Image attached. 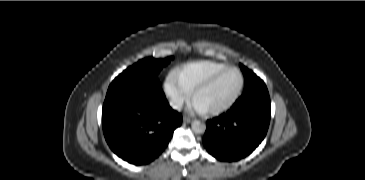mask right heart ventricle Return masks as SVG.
<instances>
[{
    "mask_svg": "<svg viewBox=\"0 0 365 180\" xmlns=\"http://www.w3.org/2000/svg\"><path fill=\"white\" fill-rule=\"evenodd\" d=\"M228 67L226 63L216 61H200L187 64L176 72L179 82L191 94L195 88L205 82L218 71Z\"/></svg>",
    "mask_w": 365,
    "mask_h": 180,
    "instance_id": "right-heart-ventricle-1",
    "label": "right heart ventricle"
}]
</instances>
